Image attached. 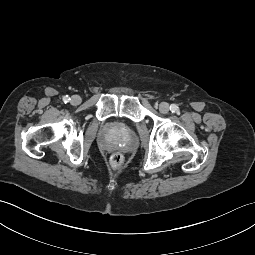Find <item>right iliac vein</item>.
<instances>
[{
	"mask_svg": "<svg viewBox=\"0 0 255 255\" xmlns=\"http://www.w3.org/2000/svg\"><path fill=\"white\" fill-rule=\"evenodd\" d=\"M81 102V98L78 95H74L71 97V104L72 105H78Z\"/></svg>",
	"mask_w": 255,
	"mask_h": 255,
	"instance_id": "63e3f726",
	"label": "right iliac vein"
}]
</instances>
